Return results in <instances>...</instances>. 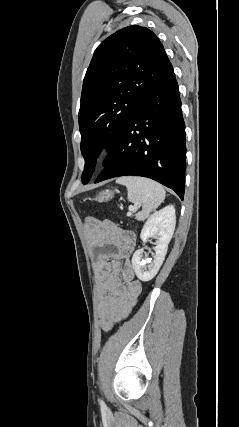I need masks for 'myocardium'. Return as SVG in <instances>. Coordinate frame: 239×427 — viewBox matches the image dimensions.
Instances as JSON below:
<instances>
[{
    "instance_id": "1",
    "label": "myocardium",
    "mask_w": 239,
    "mask_h": 427,
    "mask_svg": "<svg viewBox=\"0 0 239 427\" xmlns=\"http://www.w3.org/2000/svg\"><path fill=\"white\" fill-rule=\"evenodd\" d=\"M118 153V146L114 141H106L99 148V155L101 158L110 159Z\"/></svg>"
}]
</instances>
